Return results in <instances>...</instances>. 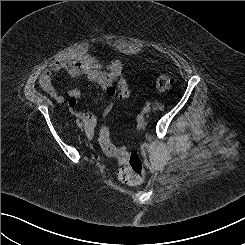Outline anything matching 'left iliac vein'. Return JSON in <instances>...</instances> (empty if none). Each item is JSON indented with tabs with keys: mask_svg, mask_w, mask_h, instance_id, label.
I'll list each match as a JSON object with an SVG mask.
<instances>
[{
	"mask_svg": "<svg viewBox=\"0 0 245 245\" xmlns=\"http://www.w3.org/2000/svg\"><path fill=\"white\" fill-rule=\"evenodd\" d=\"M151 111V107L150 106H145L144 108H143V112L144 113H149Z\"/></svg>",
	"mask_w": 245,
	"mask_h": 245,
	"instance_id": "1",
	"label": "left iliac vein"
}]
</instances>
